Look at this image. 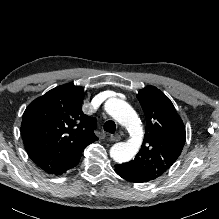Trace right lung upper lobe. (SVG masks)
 Listing matches in <instances>:
<instances>
[{
  "instance_id": "obj_1",
  "label": "right lung upper lobe",
  "mask_w": 219,
  "mask_h": 219,
  "mask_svg": "<svg viewBox=\"0 0 219 219\" xmlns=\"http://www.w3.org/2000/svg\"><path fill=\"white\" fill-rule=\"evenodd\" d=\"M83 99L82 87L66 84L26 108L21 125L23 142L43 171L53 174L78 164L83 150L98 140L96 119L82 112Z\"/></svg>"
}]
</instances>
